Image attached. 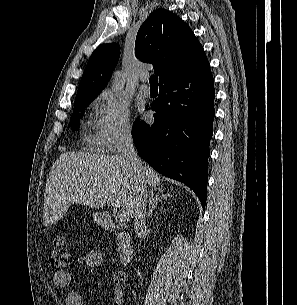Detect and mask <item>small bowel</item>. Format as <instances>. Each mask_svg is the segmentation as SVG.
Wrapping results in <instances>:
<instances>
[{
    "label": "small bowel",
    "mask_w": 297,
    "mask_h": 305,
    "mask_svg": "<svg viewBox=\"0 0 297 305\" xmlns=\"http://www.w3.org/2000/svg\"><path fill=\"white\" fill-rule=\"evenodd\" d=\"M103 263V256L97 250H91L84 256L86 267L95 269ZM113 281L116 287L112 291L113 305H124L123 284L125 283V274L122 271H116L113 274ZM53 282L57 288H69L71 285V275L67 271H56L53 274ZM66 305H83L82 295L76 290H69L65 298Z\"/></svg>",
    "instance_id": "small-bowel-1"
}]
</instances>
